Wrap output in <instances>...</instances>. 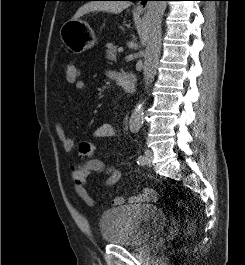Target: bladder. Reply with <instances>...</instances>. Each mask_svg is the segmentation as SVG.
<instances>
[{"mask_svg": "<svg viewBox=\"0 0 245 265\" xmlns=\"http://www.w3.org/2000/svg\"><path fill=\"white\" fill-rule=\"evenodd\" d=\"M167 220L164 211L155 205H124L105 210L99 230L107 244L141 247L156 237Z\"/></svg>", "mask_w": 245, "mask_h": 265, "instance_id": "31cf9c89", "label": "bladder"}]
</instances>
